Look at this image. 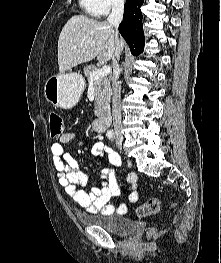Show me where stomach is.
<instances>
[{
  "label": "stomach",
  "instance_id": "stomach-1",
  "mask_svg": "<svg viewBox=\"0 0 221 263\" xmlns=\"http://www.w3.org/2000/svg\"><path fill=\"white\" fill-rule=\"evenodd\" d=\"M84 89L85 80L80 73H61L47 79L44 95L53 106L71 109L79 102Z\"/></svg>",
  "mask_w": 221,
  "mask_h": 263
}]
</instances>
